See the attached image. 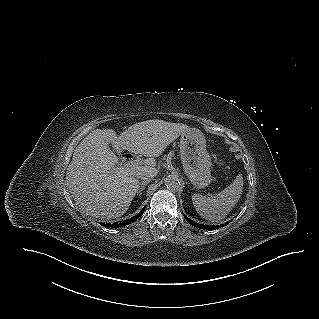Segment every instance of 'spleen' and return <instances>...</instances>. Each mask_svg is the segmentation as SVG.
I'll return each mask as SVG.
<instances>
[{"mask_svg":"<svg viewBox=\"0 0 319 319\" xmlns=\"http://www.w3.org/2000/svg\"><path fill=\"white\" fill-rule=\"evenodd\" d=\"M243 190V176L239 174L234 181L215 196L200 194L192 196V202L198 214L212 222H219L238 203Z\"/></svg>","mask_w":319,"mask_h":319,"instance_id":"spleen-1","label":"spleen"}]
</instances>
